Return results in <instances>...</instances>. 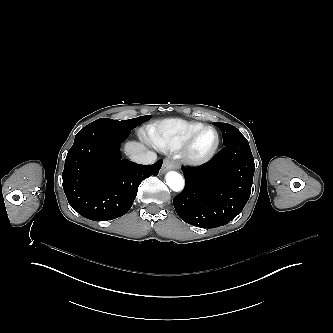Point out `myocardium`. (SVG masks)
Returning <instances> with one entry per match:
<instances>
[{
	"instance_id": "obj_1",
	"label": "myocardium",
	"mask_w": 333,
	"mask_h": 333,
	"mask_svg": "<svg viewBox=\"0 0 333 333\" xmlns=\"http://www.w3.org/2000/svg\"><path fill=\"white\" fill-rule=\"evenodd\" d=\"M204 129H212L215 132L216 135V143L214 147L205 155L197 156L192 153L191 147L194 139L197 137V135ZM220 146V134L218 130L212 126V125H202L192 131L184 140L182 143V146L180 148V158L182 161L188 165L192 166H201L213 159L215 154L217 153Z\"/></svg>"
}]
</instances>
